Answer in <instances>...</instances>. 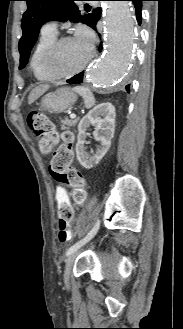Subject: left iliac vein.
<instances>
[{
    "instance_id": "1",
    "label": "left iliac vein",
    "mask_w": 183,
    "mask_h": 329,
    "mask_svg": "<svg viewBox=\"0 0 183 329\" xmlns=\"http://www.w3.org/2000/svg\"><path fill=\"white\" fill-rule=\"evenodd\" d=\"M81 251H82V249L79 247L78 249H76L69 255V257L66 261V265H65V269H64V282L67 287L69 286L70 274H71V270H72L74 261Z\"/></svg>"
}]
</instances>
